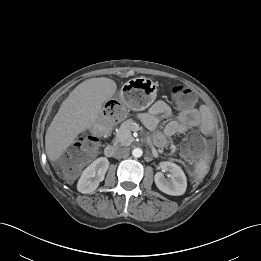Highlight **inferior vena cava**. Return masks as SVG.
Here are the masks:
<instances>
[{"mask_svg":"<svg viewBox=\"0 0 261 261\" xmlns=\"http://www.w3.org/2000/svg\"><path fill=\"white\" fill-rule=\"evenodd\" d=\"M130 149L127 147H119L115 150L114 152V157L119 159V158H124L129 155Z\"/></svg>","mask_w":261,"mask_h":261,"instance_id":"1","label":"inferior vena cava"}]
</instances>
